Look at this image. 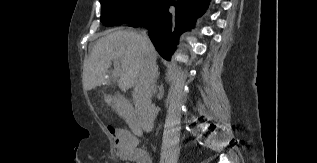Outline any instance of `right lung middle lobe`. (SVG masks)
Here are the masks:
<instances>
[{
	"label": "right lung middle lobe",
	"instance_id": "right-lung-middle-lobe-1",
	"mask_svg": "<svg viewBox=\"0 0 317 163\" xmlns=\"http://www.w3.org/2000/svg\"><path fill=\"white\" fill-rule=\"evenodd\" d=\"M161 0H100L105 26L131 23L149 15Z\"/></svg>",
	"mask_w": 317,
	"mask_h": 163
}]
</instances>
